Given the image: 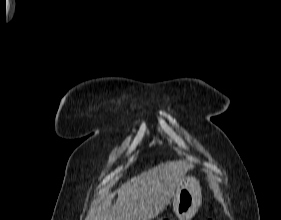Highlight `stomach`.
<instances>
[{
	"instance_id": "stomach-1",
	"label": "stomach",
	"mask_w": 281,
	"mask_h": 220,
	"mask_svg": "<svg viewBox=\"0 0 281 220\" xmlns=\"http://www.w3.org/2000/svg\"><path fill=\"white\" fill-rule=\"evenodd\" d=\"M202 202L199 181L193 176L184 177L173 198V211L179 220H191Z\"/></svg>"
}]
</instances>
